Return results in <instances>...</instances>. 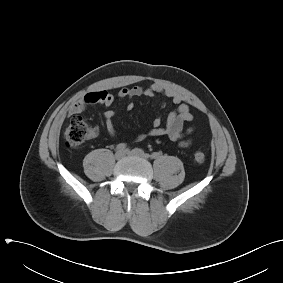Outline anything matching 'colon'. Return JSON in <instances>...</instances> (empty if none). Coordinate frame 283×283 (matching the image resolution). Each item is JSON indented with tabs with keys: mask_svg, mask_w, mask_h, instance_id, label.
I'll use <instances>...</instances> for the list:
<instances>
[{
	"mask_svg": "<svg viewBox=\"0 0 283 283\" xmlns=\"http://www.w3.org/2000/svg\"><path fill=\"white\" fill-rule=\"evenodd\" d=\"M91 134V128L82 116L73 117L69 125L64 129L63 137L67 148L77 149ZM193 161L202 164L205 161V154L197 150L193 153Z\"/></svg>",
	"mask_w": 283,
	"mask_h": 283,
	"instance_id": "colon-1",
	"label": "colon"
}]
</instances>
